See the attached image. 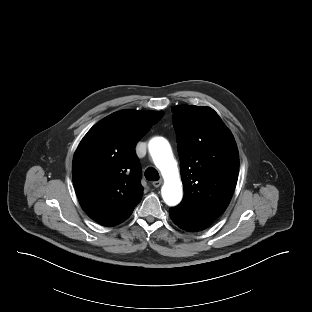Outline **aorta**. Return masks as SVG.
<instances>
[{
	"instance_id": "1",
	"label": "aorta",
	"mask_w": 312,
	"mask_h": 312,
	"mask_svg": "<svg viewBox=\"0 0 312 312\" xmlns=\"http://www.w3.org/2000/svg\"><path fill=\"white\" fill-rule=\"evenodd\" d=\"M149 151L165 180L161 190L162 197L166 204L175 206L182 199V184L170 145L163 137H155L149 142Z\"/></svg>"
}]
</instances>
